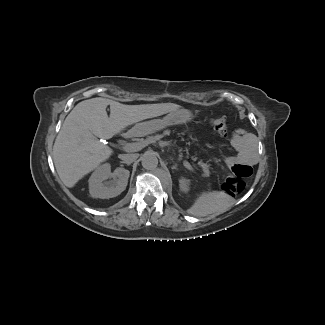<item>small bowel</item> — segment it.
I'll list each match as a JSON object with an SVG mask.
<instances>
[{
    "label": "small bowel",
    "instance_id": "c3829d8e",
    "mask_svg": "<svg viewBox=\"0 0 325 325\" xmlns=\"http://www.w3.org/2000/svg\"><path fill=\"white\" fill-rule=\"evenodd\" d=\"M237 155L240 157V159L242 161H247V157L245 156V152L241 148H239L237 150Z\"/></svg>",
    "mask_w": 325,
    "mask_h": 325
}]
</instances>
